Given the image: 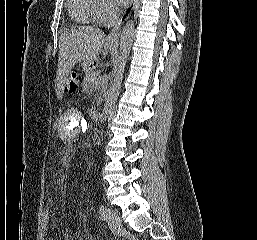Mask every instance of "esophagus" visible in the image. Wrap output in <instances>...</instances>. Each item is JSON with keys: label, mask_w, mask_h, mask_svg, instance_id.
Masks as SVG:
<instances>
[{"label": "esophagus", "mask_w": 257, "mask_h": 240, "mask_svg": "<svg viewBox=\"0 0 257 240\" xmlns=\"http://www.w3.org/2000/svg\"><path fill=\"white\" fill-rule=\"evenodd\" d=\"M138 0H130L129 5L126 7V9L121 14L120 18L118 19L117 23L111 30L109 36L107 37V43L109 44H116L119 41L120 35H121V27L125 20L129 17L132 10L134 9L136 3Z\"/></svg>", "instance_id": "34e87169"}]
</instances>
